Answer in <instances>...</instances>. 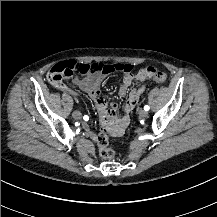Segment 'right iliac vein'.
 <instances>
[{
  "label": "right iliac vein",
  "instance_id": "63e3f726",
  "mask_svg": "<svg viewBox=\"0 0 217 217\" xmlns=\"http://www.w3.org/2000/svg\"><path fill=\"white\" fill-rule=\"evenodd\" d=\"M72 116H73L74 119H80L81 116H82V114H81L80 111L76 110V111H74V112L72 113Z\"/></svg>",
  "mask_w": 217,
  "mask_h": 217
}]
</instances>
